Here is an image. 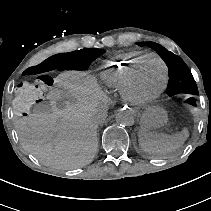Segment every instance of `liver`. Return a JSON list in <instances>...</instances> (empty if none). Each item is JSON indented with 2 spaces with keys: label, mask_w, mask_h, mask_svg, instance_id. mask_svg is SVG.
I'll list each match as a JSON object with an SVG mask.
<instances>
[{
  "label": "liver",
  "mask_w": 211,
  "mask_h": 211,
  "mask_svg": "<svg viewBox=\"0 0 211 211\" xmlns=\"http://www.w3.org/2000/svg\"><path fill=\"white\" fill-rule=\"evenodd\" d=\"M49 113L39 110L19 118L16 131L24 148L45 164L74 169L91 162L98 149L97 128L105 97L89 75L77 72L56 78ZM67 97L62 108L57 100Z\"/></svg>",
  "instance_id": "liver-1"
}]
</instances>
